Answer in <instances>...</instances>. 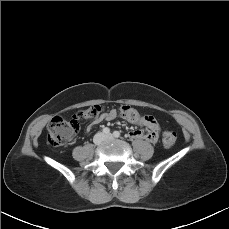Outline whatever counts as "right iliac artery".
Segmentation results:
<instances>
[{
    "label": "right iliac artery",
    "instance_id": "82829eb1",
    "mask_svg": "<svg viewBox=\"0 0 229 229\" xmlns=\"http://www.w3.org/2000/svg\"><path fill=\"white\" fill-rule=\"evenodd\" d=\"M103 133H105V134H110V129L109 128H107V127H105L104 129H103Z\"/></svg>",
    "mask_w": 229,
    "mask_h": 229
}]
</instances>
